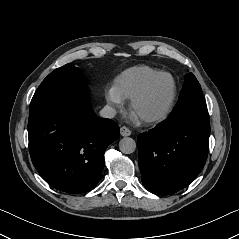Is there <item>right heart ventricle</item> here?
I'll return each instance as SVG.
<instances>
[{
	"instance_id": "obj_1",
	"label": "right heart ventricle",
	"mask_w": 239,
	"mask_h": 239,
	"mask_svg": "<svg viewBox=\"0 0 239 239\" xmlns=\"http://www.w3.org/2000/svg\"><path fill=\"white\" fill-rule=\"evenodd\" d=\"M158 72V70L147 66L132 67L122 72L116 78L114 88L123 99L131 98Z\"/></svg>"
}]
</instances>
